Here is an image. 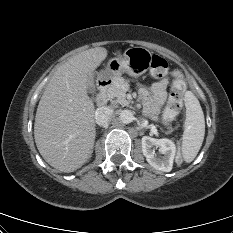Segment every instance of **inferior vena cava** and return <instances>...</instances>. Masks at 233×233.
<instances>
[{"label":"inferior vena cava","mask_w":233,"mask_h":233,"mask_svg":"<svg viewBox=\"0 0 233 233\" xmlns=\"http://www.w3.org/2000/svg\"><path fill=\"white\" fill-rule=\"evenodd\" d=\"M112 115L113 110L110 107H99L95 112V122L99 126H104L112 119Z\"/></svg>","instance_id":"inferior-vena-cava-1"}]
</instances>
